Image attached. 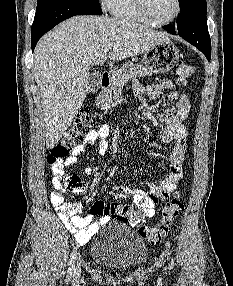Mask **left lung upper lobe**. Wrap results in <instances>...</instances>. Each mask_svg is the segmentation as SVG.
<instances>
[{"mask_svg":"<svg viewBox=\"0 0 233 286\" xmlns=\"http://www.w3.org/2000/svg\"><path fill=\"white\" fill-rule=\"evenodd\" d=\"M180 16L176 24L186 21L195 12L203 10L206 7V0H179Z\"/></svg>","mask_w":233,"mask_h":286,"instance_id":"left-lung-upper-lobe-1","label":"left lung upper lobe"}]
</instances>
